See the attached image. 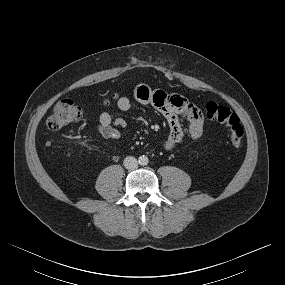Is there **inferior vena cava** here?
<instances>
[{
	"instance_id": "obj_1",
	"label": "inferior vena cava",
	"mask_w": 285,
	"mask_h": 285,
	"mask_svg": "<svg viewBox=\"0 0 285 285\" xmlns=\"http://www.w3.org/2000/svg\"><path fill=\"white\" fill-rule=\"evenodd\" d=\"M124 166L128 170H133L138 167V161L133 156H128L124 159Z\"/></svg>"
}]
</instances>
